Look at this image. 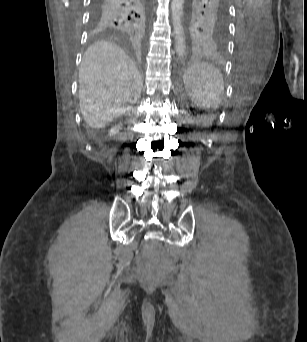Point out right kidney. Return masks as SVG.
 Here are the masks:
<instances>
[{"instance_id":"ca27d5eb","label":"right kidney","mask_w":307,"mask_h":342,"mask_svg":"<svg viewBox=\"0 0 307 342\" xmlns=\"http://www.w3.org/2000/svg\"><path fill=\"white\" fill-rule=\"evenodd\" d=\"M119 130H121V126H113V128H111V130H109L110 136H113V134H117V132H119Z\"/></svg>"}]
</instances>
